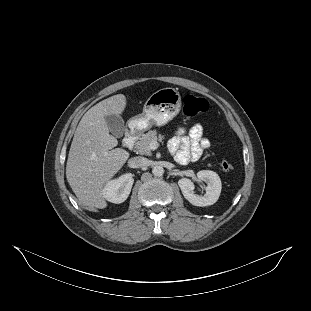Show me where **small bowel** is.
I'll return each instance as SVG.
<instances>
[{
    "instance_id": "1",
    "label": "small bowel",
    "mask_w": 311,
    "mask_h": 311,
    "mask_svg": "<svg viewBox=\"0 0 311 311\" xmlns=\"http://www.w3.org/2000/svg\"><path fill=\"white\" fill-rule=\"evenodd\" d=\"M209 146L210 142L203 137V128L199 123L188 131L180 129L169 141L170 151L180 164L197 161Z\"/></svg>"
}]
</instances>
